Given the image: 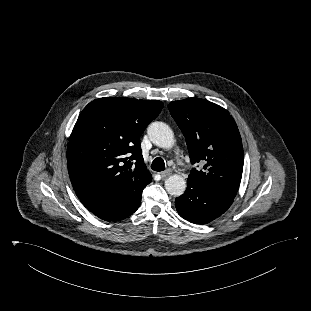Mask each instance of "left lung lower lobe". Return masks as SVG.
Wrapping results in <instances>:
<instances>
[{
    "label": "left lung lower lobe",
    "mask_w": 311,
    "mask_h": 311,
    "mask_svg": "<svg viewBox=\"0 0 311 311\" xmlns=\"http://www.w3.org/2000/svg\"><path fill=\"white\" fill-rule=\"evenodd\" d=\"M232 203L233 198L189 177L185 193L175 200L179 215L196 224L209 223L228 210Z\"/></svg>",
    "instance_id": "0a47b994"
}]
</instances>
